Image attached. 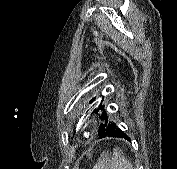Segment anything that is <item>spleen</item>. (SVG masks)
<instances>
[{"instance_id":"3e777b00","label":"spleen","mask_w":177,"mask_h":169,"mask_svg":"<svg viewBox=\"0 0 177 169\" xmlns=\"http://www.w3.org/2000/svg\"><path fill=\"white\" fill-rule=\"evenodd\" d=\"M93 169H134L132 163L119 148L113 150L111 157L102 155Z\"/></svg>"}]
</instances>
